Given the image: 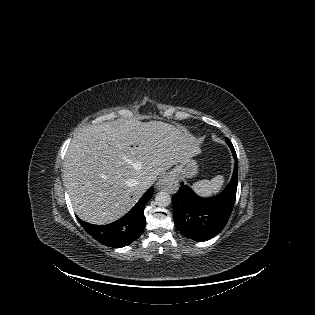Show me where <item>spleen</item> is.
<instances>
[{"label":"spleen","mask_w":315,"mask_h":315,"mask_svg":"<svg viewBox=\"0 0 315 315\" xmlns=\"http://www.w3.org/2000/svg\"><path fill=\"white\" fill-rule=\"evenodd\" d=\"M224 183V177L215 176L212 180H200L192 185L193 190L200 196L207 197L218 193Z\"/></svg>","instance_id":"3e777b00"}]
</instances>
